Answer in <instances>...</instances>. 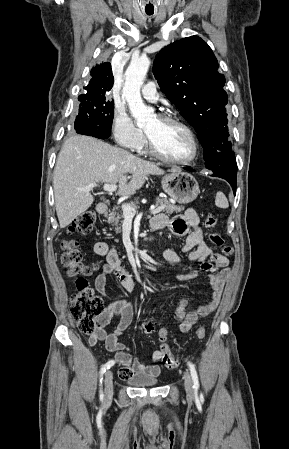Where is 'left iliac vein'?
Returning <instances> with one entry per match:
<instances>
[{"mask_svg": "<svg viewBox=\"0 0 289 449\" xmlns=\"http://www.w3.org/2000/svg\"><path fill=\"white\" fill-rule=\"evenodd\" d=\"M184 387L186 390V393L189 397H193L194 391L192 386V380L188 372L184 373Z\"/></svg>", "mask_w": 289, "mask_h": 449, "instance_id": "4c4485c4", "label": "left iliac vein"}]
</instances>
